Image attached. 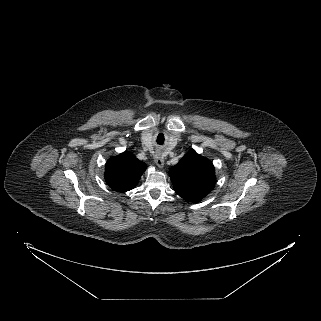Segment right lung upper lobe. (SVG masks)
<instances>
[{
  "instance_id": "cb5924a9",
  "label": "right lung upper lobe",
  "mask_w": 321,
  "mask_h": 321,
  "mask_svg": "<svg viewBox=\"0 0 321 321\" xmlns=\"http://www.w3.org/2000/svg\"><path fill=\"white\" fill-rule=\"evenodd\" d=\"M146 167L130 152H123L107 161L105 180L113 190L126 192L136 187Z\"/></svg>"
}]
</instances>
